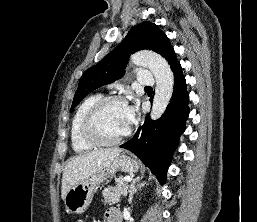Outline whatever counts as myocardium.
Wrapping results in <instances>:
<instances>
[{
    "label": "myocardium",
    "instance_id": "myocardium-1",
    "mask_svg": "<svg viewBox=\"0 0 257 222\" xmlns=\"http://www.w3.org/2000/svg\"><path fill=\"white\" fill-rule=\"evenodd\" d=\"M122 104L126 105V101L118 96H108L103 97L98 100L92 107L87 111L83 123H82V133L84 137L96 146H113L121 143L130 134V128L115 139L104 138L97 127V119L100 113L111 104Z\"/></svg>",
    "mask_w": 257,
    "mask_h": 222
}]
</instances>
